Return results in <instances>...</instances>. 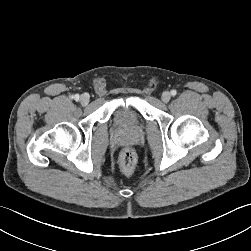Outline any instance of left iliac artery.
Listing matches in <instances>:
<instances>
[{
	"label": "left iliac artery",
	"mask_w": 251,
	"mask_h": 251,
	"mask_svg": "<svg viewBox=\"0 0 251 251\" xmlns=\"http://www.w3.org/2000/svg\"><path fill=\"white\" fill-rule=\"evenodd\" d=\"M177 94V91L176 90H171V95L172 96H175Z\"/></svg>",
	"instance_id": "obj_1"
}]
</instances>
